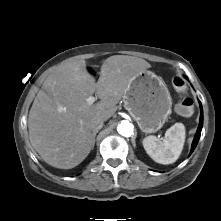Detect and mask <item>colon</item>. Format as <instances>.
I'll use <instances>...</instances> for the list:
<instances>
[{
	"label": "colon",
	"mask_w": 221,
	"mask_h": 221,
	"mask_svg": "<svg viewBox=\"0 0 221 221\" xmlns=\"http://www.w3.org/2000/svg\"><path fill=\"white\" fill-rule=\"evenodd\" d=\"M85 73L89 79H95L97 77V72L92 66H87L85 68ZM172 85L176 92L180 94H183L187 89L184 79L179 76L173 78ZM176 111L183 117L191 116L194 111L193 100L191 98H184L181 102L178 103Z\"/></svg>",
	"instance_id": "5ec220e1"
}]
</instances>
